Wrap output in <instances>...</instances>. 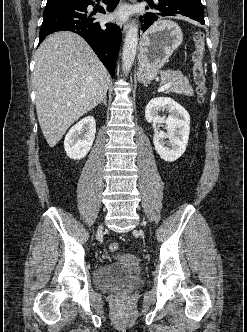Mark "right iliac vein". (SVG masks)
I'll return each instance as SVG.
<instances>
[{
  "label": "right iliac vein",
  "instance_id": "right-iliac-vein-1",
  "mask_svg": "<svg viewBox=\"0 0 247 332\" xmlns=\"http://www.w3.org/2000/svg\"><path fill=\"white\" fill-rule=\"evenodd\" d=\"M102 231H103V226L101 225V226H99V228H98V232H97V234H98V235L101 234Z\"/></svg>",
  "mask_w": 247,
  "mask_h": 332
}]
</instances>
